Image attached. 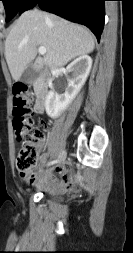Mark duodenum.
<instances>
[{"mask_svg": "<svg viewBox=\"0 0 133 253\" xmlns=\"http://www.w3.org/2000/svg\"><path fill=\"white\" fill-rule=\"evenodd\" d=\"M34 88L36 91L35 112L42 114L45 110L46 98L48 93L49 77L42 73L35 81Z\"/></svg>", "mask_w": 133, "mask_h": 253, "instance_id": "duodenum-1", "label": "duodenum"}]
</instances>
